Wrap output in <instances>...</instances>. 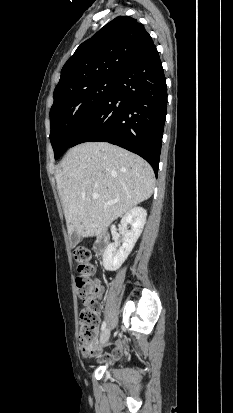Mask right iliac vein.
I'll use <instances>...</instances> for the list:
<instances>
[{
	"label": "right iliac vein",
	"mask_w": 233,
	"mask_h": 413,
	"mask_svg": "<svg viewBox=\"0 0 233 413\" xmlns=\"http://www.w3.org/2000/svg\"><path fill=\"white\" fill-rule=\"evenodd\" d=\"M109 338H110V329L106 328L103 331V333L101 334V337H100L101 344L102 345L105 344L109 340Z\"/></svg>",
	"instance_id": "obj_1"
}]
</instances>
